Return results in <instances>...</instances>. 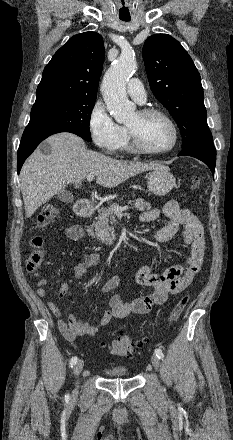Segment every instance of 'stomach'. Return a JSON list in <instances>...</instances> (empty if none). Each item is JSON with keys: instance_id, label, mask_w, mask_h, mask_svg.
Returning a JSON list of instances; mask_svg holds the SVG:
<instances>
[{"instance_id": "0dacf381", "label": "stomach", "mask_w": 233, "mask_h": 440, "mask_svg": "<svg viewBox=\"0 0 233 440\" xmlns=\"http://www.w3.org/2000/svg\"><path fill=\"white\" fill-rule=\"evenodd\" d=\"M175 186V177L167 168L153 170L147 177L148 190L157 195L164 196Z\"/></svg>"}]
</instances>
